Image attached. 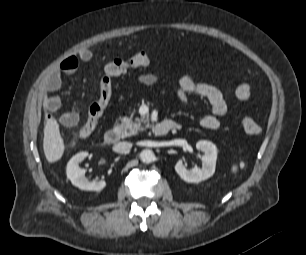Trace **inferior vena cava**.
Wrapping results in <instances>:
<instances>
[{"label": "inferior vena cava", "mask_w": 306, "mask_h": 255, "mask_svg": "<svg viewBox=\"0 0 306 255\" xmlns=\"http://www.w3.org/2000/svg\"><path fill=\"white\" fill-rule=\"evenodd\" d=\"M132 148V144L129 142H119L114 145L113 150L117 153H126Z\"/></svg>", "instance_id": "obj_1"}]
</instances>
